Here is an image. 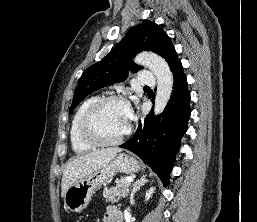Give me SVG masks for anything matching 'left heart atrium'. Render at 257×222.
Segmentation results:
<instances>
[{"instance_id": "obj_1", "label": "left heart atrium", "mask_w": 257, "mask_h": 222, "mask_svg": "<svg viewBox=\"0 0 257 222\" xmlns=\"http://www.w3.org/2000/svg\"><path fill=\"white\" fill-rule=\"evenodd\" d=\"M127 114H128V119H129V121H131V120H132V118H133V111H132L131 109H129V108H128V112H127Z\"/></svg>"}]
</instances>
